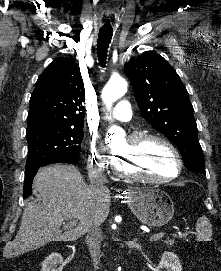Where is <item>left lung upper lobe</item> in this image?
I'll return each instance as SVG.
<instances>
[{"label":"left lung upper lobe","instance_id":"5c2ea615","mask_svg":"<svg viewBox=\"0 0 221 271\" xmlns=\"http://www.w3.org/2000/svg\"><path fill=\"white\" fill-rule=\"evenodd\" d=\"M142 116L179 148L185 167L206 174L188 92L174 68L146 51L125 65Z\"/></svg>","mask_w":221,"mask_h":271}]
</instances>
